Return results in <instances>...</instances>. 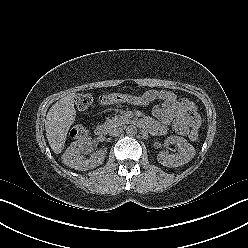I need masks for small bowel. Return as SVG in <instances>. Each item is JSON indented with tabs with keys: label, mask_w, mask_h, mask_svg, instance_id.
Returning a JSON list of instances; mask_svg holds the SVG:
<instances>
[{
	"label": "small bowel",
	"mask_w": 248,
	"mask_h": 248,
	"mask_svg": "<svg viewBox=\"0 0 248 248\" xmlns=\"http://www.w3.org/2000/svg\"><path fill=\"white\" fill-rule=\"evenodd\" d=\"M159 100L152 113L159 122L149 117H144L141 124L157 135L164 134L167 127L172 123L174 131L182 136L189 135L191 129L199 128L201 120L193 102L178 98L168 90H148L141 95H129L127 103L146 106L149 103Z\"/></svg>",
	"instance_id": "c3829d8e"
}]
</instances>
